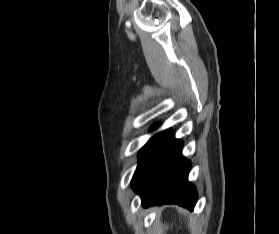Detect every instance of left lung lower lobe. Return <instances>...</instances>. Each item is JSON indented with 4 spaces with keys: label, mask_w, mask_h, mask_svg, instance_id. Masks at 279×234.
<instances>
[{
    "label": "left lung lower lobe",
    "mask_w": 279,
    "mask_h": 234,
    "mask_svg": "<svg viewBox=\"0 0 279 234\" xmlns=\"http://www.w3.org/2000/svg\"><path fill=\"white\" fill-rule=\"evenodd\" d=\"M183 143L167 130L152 137L139 152L132 188L144 207L174 203L193 210L197 194L188 182L190 162L181 156Z\"/></svg>",
    "instance_id": "obj_1"
}]
</instances>
